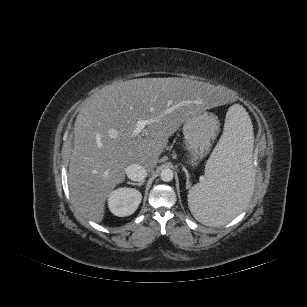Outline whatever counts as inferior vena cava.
Masks as SVG:
<instances>
[{
	"instance_id": "obj_1",
	"label": "inferior vena cava",
	"mask_w": 307,
	"mask_h": 307,
	"mask_svg": "<svg viewBox=\"0 0 307 307\" xmlns=\"http://www.w3.org/2000/svg\"><path fill=\"white\" fill-rule=\"evenodd\" d=\"M126 175L129 179L133 181H143L147 176L146 169L137 163H133L126 167Z\"/></svg>"
}]
</instances>
